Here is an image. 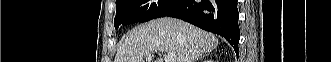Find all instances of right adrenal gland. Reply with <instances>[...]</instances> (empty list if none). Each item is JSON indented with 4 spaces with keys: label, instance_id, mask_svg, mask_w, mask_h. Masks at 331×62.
<instances>
[{
    "label": "right adrenal gland",
    "instance_id": "right-adrenal-gland-1",
    "mask_svg": "<svg viewBox=\"0 0 331 62\" xmlns=\"http://www.w3.org/2000/svg\"><path fill=\"white\" fill-rule=\"evenodd\" d=\"M200 58H202V56L201 57H198L196 60H199Z\"/></svg>",
    "mask_w": 331,
    "mask_h": 62
}]
</instances>
